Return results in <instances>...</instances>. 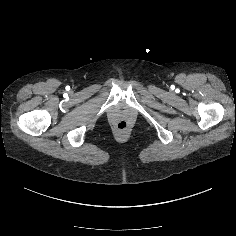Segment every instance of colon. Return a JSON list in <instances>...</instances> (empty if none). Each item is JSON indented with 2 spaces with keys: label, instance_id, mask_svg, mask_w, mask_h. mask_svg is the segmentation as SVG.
I'll use <instances>...</instances> for the list:
<instances>
[{
  "label": "colon",
  "instance_id": "5ec220e1",
  "mask_svg": "<svg viewBox=\"0 0 236 236\" xmlns=\"http://www.w3.org/2000/svg\"><path fill=\"white\" fill-rule=\"evenodd\" d=\"M116 127L118 130L123 131L127 128V123H126V121L121 120L117 123Z\"/></svg>",
  "mask_w": 236,
  "mask_h": 236
}]
</instances>
